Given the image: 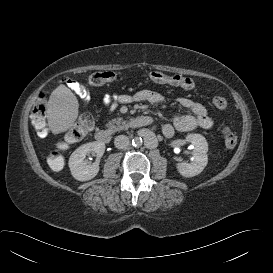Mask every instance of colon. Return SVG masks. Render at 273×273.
Masks as SVG:
<instances>
[{
	"instance_id": "colon-1",
	"label": "colon",
	"mask_w": 273,
	"mask_h": 273,
	"mask_svg": "<svg viewBox=\"0 0 273 273\" xmlns=\"http://www.w3.org/2000/svg\"><path fill=\"white\" fill-rule=\"evenodd\" d=\"M116 75L113 72H95L89 76V82L92 85H104L113 82ZM148 79L157 84H169L173 86H180L183 88L192 89L195 84L192 79L183 77L181 75H167L158 71H151L148 73ZM213 105L217 109H224L227 106V101L222 96L213 98ZM47 101L45 95H41L35 103L32 114L31 122L36 129L39 136L44 137L48 133L46 121ZM94 128V119L92 115L85 113L82 114L76 123L71 127L67 134V143H74L81 140L85 135ZM221 133L224 137V143L227 148H233L237 144V137L228 126L221 127ZM62 159L60 154H55L50 159V165L53 168L60 167Z\"/></svg>"
}]
</instances>
